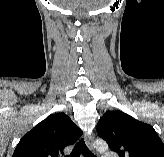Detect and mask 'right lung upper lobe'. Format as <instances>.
<instances>
[{"instance_id": "obj_1", "label": "right lung upper lobe", "mask_w": 164, "mask_h": 157, "mask_svg": "<svg viewBox=\"0 0 164 157\" xmlns=\"http://www.w3.org/2000/svg\"><path fill=\"white\" fill-rule=\"evenodd\" d=\"M81 135V129L65 113H55L23 136L12 157H63L64 148Z\"/></svg>"}]
</instances>
